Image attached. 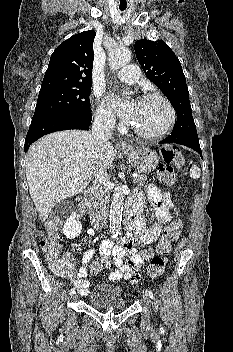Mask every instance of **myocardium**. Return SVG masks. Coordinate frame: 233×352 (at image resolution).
Segmentation results:
<instances>
[{
  "instance_id": "obj_1",
  "label": "myocardium",
  "mask_w": 233,
  "mask_h": 352,
  "mask_svg": "<svg viewBox=\"0 0 233 352\" xmlns=\"http://www.w3.org/2000/svg\"><path fill=\"white\" fill-rule=\"evenodd\" d=\"M147 99H158L166 105V107L169 111L168 122L161 130L156 131V132H145V131L139 130L138 128H136L133 125H131V129L136 135H138L144 139H158V138H161L164 135H166L171 130V128L174 126L175 121H176V111H175V108L172 105V103L169 101V99L159 92L145 93L144 95H142L140 97V100H147Z\"/></svg>"
}]
</instances>
